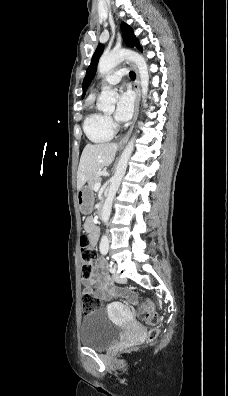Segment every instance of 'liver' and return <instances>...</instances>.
Listing matches in <instances>:
<instances>
[{
    "label": "liver",
    "instance_id": "6515ba94",
    "mask_svg": "<svg viewBox=\"0 0 228 396\" xmlns=\"http://www.w3.org/2000/svg\"><path fill=\"white\" fill-rule=\"evenodd\" d=\"M118 144H87L82 152L77 172V190L94 176L101 168L109 166L116 155Z\"/></svg>",
    "mask_w": 228,
    "mask_h": 396
}]
</instances>
